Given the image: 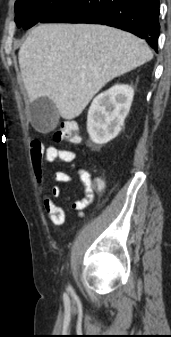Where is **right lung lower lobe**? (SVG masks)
<instances>
[{"label": "right lung lower lobe", "instance_id": "98d812e1", "mask_svg": "<svg viewBox=\"0 0 171 337\" xmlns=\"http://www.w3.org/2000/svg\"><path fill=\"white\" fill-rule=\"evenodd\" d=\"M159 0H67L42 22L97 23L145 39L157 52Z\"/></svg>", "mask_w": 171, "mask_h": 337}]
</instances>
